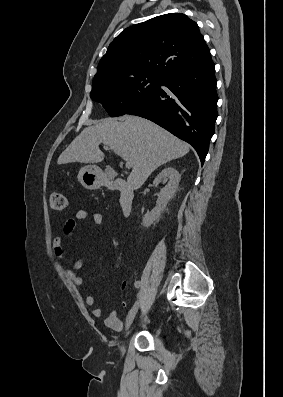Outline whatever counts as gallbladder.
<instances>
[{
    "mask_svg": "<svg viewBox=\"0 0 283 397\" xmlns=\"http://www.w3.org/2000/svg\"><path fill=\"white\" fill-rule=\"evenodd\" d=\"M106 173H107L109 178L114 177V173L112 172V170L110 168L106 169Z\"/></svg>",
    "mask_w": 283,
    "mask_h": 397,
    "instance_id": "1",
    "label": "gallbladder"
}]
</instances>
